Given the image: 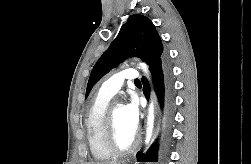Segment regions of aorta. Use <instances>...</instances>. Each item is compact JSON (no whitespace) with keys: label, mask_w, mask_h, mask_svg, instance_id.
<instances>
[{"label":"aorta","mask_w":251,"mask_h":164,"mask_svg":"<svg viewBox=\"0 0 251 164\" xmlns=\"http://www.w3.org/2000/svg\"><path fill=\"white\" fill-rule=\"evenodd\" d=\"M139 65L143 71L148 74V67L145 63L139 62ZM154 127V105L153 102L150 103L148 108V117H147V128H146V143L151 139L152 132Z\"/></svg>","instance_id":"762f6f07"}]
</instances>
